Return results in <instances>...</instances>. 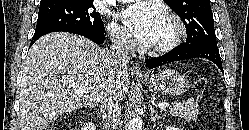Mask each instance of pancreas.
Segmentation results:
<instances>
[{
    "mask_svg": "<svg viewBox=\"0 0 249 130\" xmlns=\"http://www.w3.org/2000/svg\"><path fill=\"white\" fill-rule=\"evenodd\" d=\"M197 107L198 105L194 101L187 103L174 102V105L170 108L169 112L176 118L196 121L198 117Z\"/></svg>",
    "mask_w": 249,
    "mask_h": 130,
    "instance_id": "obj_1",
    "label": "pancreas"
}]
</instances>
